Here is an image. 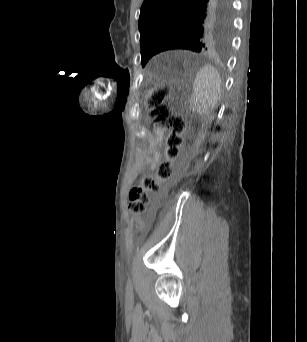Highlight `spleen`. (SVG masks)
Wrapping results in <instances>:
<instances>
[{"label": "spleen", "instance_id": "1", "mask_svg": "<svg viewBox=\"0 0 307 342\" xmlns=\"http://www.w3.org/2000/svg\"><path fill=\"white\" fill-rule=\"evenodd\" d=\"M222 80L214 66H204L195 76L191 104L194 114H214L221 94Z\"/></svg>", "mask_w": 307, "mask_h": 342}]
</instances>
